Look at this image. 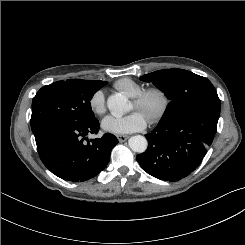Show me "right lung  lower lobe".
<instances>
[{
  "mask_svg": "<svg viewBox=\"0 0 245 245\" xmlns=\"http://www.w3.org/2000/svg\"><path fill=\"white\" fill-rule=\"evenodd\" d=\"M99 128L98 120L77 126L43 124L33 132L43 164L64 180L82 182L93 178L107 166L111 150L118 143L110 133L83 143L86 135L98 133Z\"/></svg>",
  "mask_w": 245,
  "mask_h": 245,
  "instance_id": "obj_1",
  "label": "right lung lower lobe"
}]
</instances>
